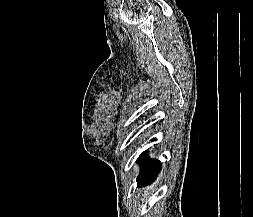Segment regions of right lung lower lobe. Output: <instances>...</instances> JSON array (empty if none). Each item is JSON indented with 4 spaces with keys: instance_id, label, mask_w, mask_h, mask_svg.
I'll list each match as a JSON object with an SVG mask.
<instances>
[{
    "instance_id": "98d812e1",
    "label": "right lung lower lobe",
    "mask_w": 253,
    "mask_h": 217,
    "mask_svg": "<svg viewBox=\"0 0 253 217\" xmlns=\"http://www.w3.org/2000/svg\"><path fill=\"white\" fill-rule=\"evenodd\" d=\"M138 161L141 164L140 174L137 178L138 186L153 182L161 170V163L158 160H148L146 152L141 154Z\"/></svg>"
}]
</instances>
